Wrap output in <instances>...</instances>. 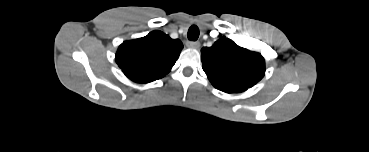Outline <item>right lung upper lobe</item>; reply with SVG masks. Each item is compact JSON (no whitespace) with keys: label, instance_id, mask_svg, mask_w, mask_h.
I'll return each mask as SVG.
<instances>
[{"label":"right lung upper lobe","instance_id":"cb5924a9","mask_svg":"<svg viewBox=\"0 0 369 152\" xmlns=\"http://www.w3.org/2000/svg\"><path fill=\"white\" fill-rule=\"evenodd\" d=\"M183 44L161 31L123 42L116 53V63L123 73L137 83H149L165 76L178 59Z\"/></svg>","mask_w":369,"mask_h":152}]
</instances>
